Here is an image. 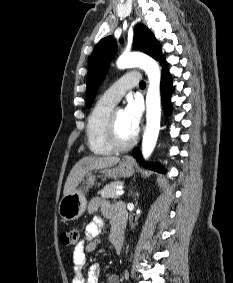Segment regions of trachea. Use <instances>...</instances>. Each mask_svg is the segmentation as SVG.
I'll return each mask as SVG.
<instances>
[{"label": "trachea", "mask_w": 233, "mask_h": 283, "mask_svg": "<svg viewBox=\"0 0 233 283\" xmlns=\"http://www.w3.org/2000/svg\"><path fill=\"white\" fill-rule=\"evenodd\" d=\"M140 88H145L146 86V83L144 81H141L140 84H139Z\"/></svg>", "instance_id": "trachea-1"}]
</instances>
